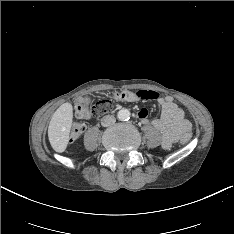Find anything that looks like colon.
Instances as JSON below:
<instances>
[{"label":"colon","mask_w":234,"mask_h":234,"mask_svg":"<svg viewBox=\"0 0 234 234\" xmlns=\"http://www.w3.org/2000/svg\"><path fill=\"white\" fill-rule=\"evenodd\" d=\"M131 94L140 100H149L155 98V95L143 91L133 92L127 90L115 93L112 96V98L114 100L121 101L125 97L130 96ZM111 109H112V100L108 98H101L93 102L88 97H82L76 101L75 105V113L79 119L100 117L102 115L109 113ZM85 129L86 126L84 123L75 124L71 131V140L74 141L78 139L85 131ZM190 139H191V134L189 132H185L181 137V142L183 144H186L190 141Z\"/></svg>","instance_id":"obj_1"}]
</instances>
